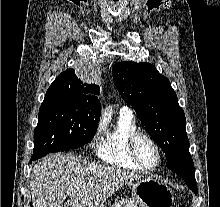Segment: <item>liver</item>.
Here are the masks:
<instances>
[{
    "instance_id": "liver-1",
    "label": "liver",
    "mask_w": 220,
    "mask_h": 207,
    "mask_svg": "<svg viewBox=\"0 0 220 207\" xmlns=\"http://www.w3.org/2000/svg\"><path fill=\"white\" fill-rule=\"evenodd\" d=\"M136 179L141 176L120 168L64 153L50 154L32 169L33 207H104L114 192Z\"/></svg>"
}]
</instances>
